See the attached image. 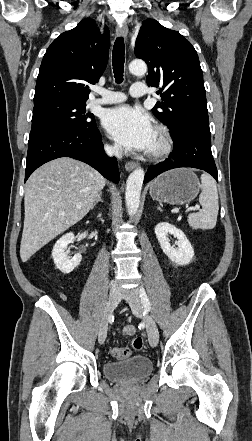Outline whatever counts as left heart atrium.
I'll list each match as a JSON object with an SVG mask.
<instances>
[{
  "label": "left heart atrium",
  "mask_w": 252,
  "mask_h": 441,
  "mask_svg": "<svg viewBox=\"0 0 252 441\" xmlns=\"http://www.w3.org/2000/svg\"><path fill=\"white\" fill-rule=\"evenodd\" d=\"M103 126L119 145L133 151H149L156 136L150 117L128 105L109 110Z\"/></svg>",
  "instance_id": "obj_1"
}]
</instances>
